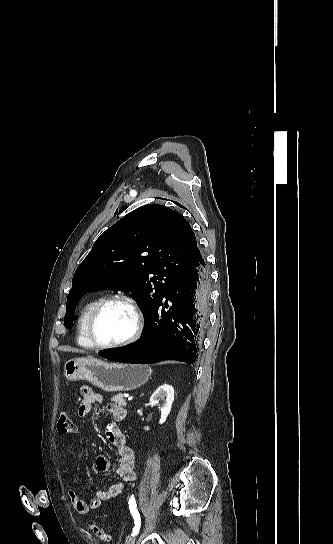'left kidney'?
Returning <instances> with one entry per match:
<instances>
[{"mask_svg": "<svg viewBox=\"0 0 333 544\" xmlns=\"http://www.w3.org/2000/svg\"><path fill=\"white\" fill-rule=\"evenodd\" d=\"M174 401V388L171 385H161L150 397L151 404L159 405L161 411V418L159 423L163 424L172 408ZM145 430H149V427H145Z\"/></svg>", "mask_w": 333, "mask_h": 544, "instance_id": "obj_1", "label": "left kidney"}]
</instances>
